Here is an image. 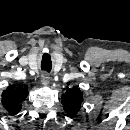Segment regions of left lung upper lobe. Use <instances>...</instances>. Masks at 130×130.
Wrapping results in <instances>:
<instances>
[{"label": "left lung upper lobe", "instance_id": "obj_1", "mask_svg": "<svg viewBox=\"0 0 130 130\" xmlns=\"http://www.w3.org/2000/svg\"><path fill=\"white\" fill-rule=\"evenodd\" d=\"M65 93L62 95V104L65 112L74 116L80 109L83 94L78 87H72L67 83Z\"/></svg>", "mask_w": 130, "mask_h": 130}]
</instances>
